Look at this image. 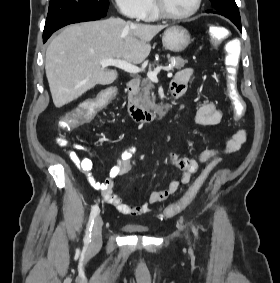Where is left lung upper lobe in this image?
Wrapping results in <instances>:
<instances>
[{
    "mask_svg": "<svg viewBox=\"0 0 280 283\" xmlns=\"http://www.w3.org/2000/svg\"><path fill=\"white\" fill-rule=\"evenodd\" d=\"M215 11L207 10L206 12H213L223 15L230 20L241 22L238 7L235 0H210Z\"/></svg>",
    "mask_w": 280,
    "mask_h": 283,
    "instance_id": "left-lung-upper-lobe-1",
    "label": "left lung upper lobe"
}]
</instances>
